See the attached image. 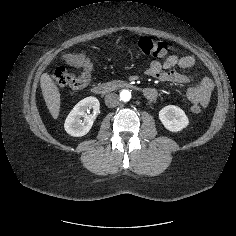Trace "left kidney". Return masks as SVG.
Instances as JSON below:
<instances>
[{
    "label": "left kidney",
    "mask_w": 236,
    "mask_h": 236,
    "mask_svg": "<svg viewBox=\"0 0 236 236\" xmlns=\"http://www.w3.org/2000/svg\"><path fill=\"white\" fill-rule=\"evenodd\" d=\"M159 119L164 127L171 132H179L189 125L185 112L174 105L163 107L159 111Z\"/></svg>",
    "instance_id": "1"
}]
</instances>
